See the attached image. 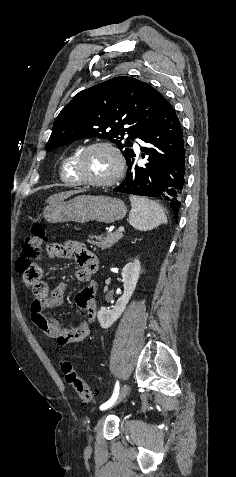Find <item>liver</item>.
Masks as SVG:
<instances>
[{
    "instance_id": "1",
    "label": "liver",
    "mask_w": 236,
    "mask_h": 477,
    "mask_svg": "<svg viewBox=\"0 0 236 477\" xmlns=\"http://www.w3.org/2000/svg\"><path fill=\"white\" fill-rule=\"evenodd\" d=\"M79 191H67V192H61V193H58V194H54L52 196H50L48 199H47V203L49 205H52V204H58L60 202H63L64 199L70 197L71 195H74L76 193H78Z\"/></svg>"
}]
</instances>
